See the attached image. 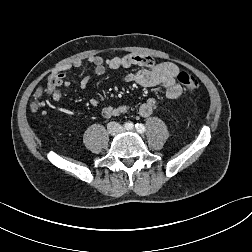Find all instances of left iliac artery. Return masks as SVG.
Wrapping results in <instances>:
<instances>
[{
    "label": "left iliac artery",
    "instance_id": "1",
    "mask_svg": "<svg viewBox=\"0 0 252 252\" xmlns=\"http://www.w3.org/2000/svg\"><path fill=\"white\" fill-rule=\"evenodd\" d=\"M135 127H136V130H137L139 133L145 132V126H144L143 124L137 123V124L135 125Z\"/></svg>",
    "mask_w": 252,
    "mask_h": 252
}]
</instances>
